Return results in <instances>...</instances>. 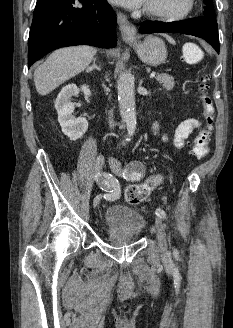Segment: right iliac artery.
Segmentation results:
<instances>
[{
	"label": "right iliac artery",
	"mask_w": 233,
	"mask_h": 328,
	"mask_svg": "<svg viewBox=\"0 0 233 328\" xmlns=\"http://www.w3.org/2000/svg\"><path fill=\"white\" fill-rule=\"evenodd\" d=\"M112 175H105L104 189L106 193L104 194V199L107 201H114L120 197V186L118 181L111 177Z\"/></svg>",
	"instance_id": "obj_1"
}]
</instances>
